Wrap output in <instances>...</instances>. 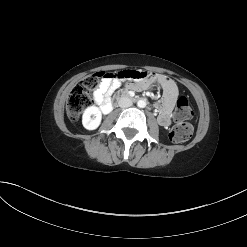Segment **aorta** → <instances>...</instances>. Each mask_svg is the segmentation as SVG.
<instances>
[{
	"mask_svg": "<svg viewBox=\"0 0 247 247\" xmlns=\"http://www.w3.org/2000/svg\"><path fill=\"white\" fill-rule=\"evenodd\" d=\"M146 100H144V99H141V100H138V102H137V106L139 107V108H144V107H146Z\"/></svg>",
	"mask_w": 247,
	"mask_h": 247,
	"instance_id": "obj_1",
	"label": "aorta"
}]
</instances>
